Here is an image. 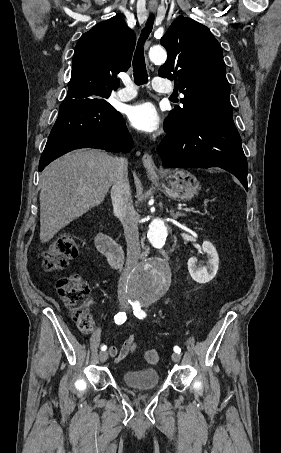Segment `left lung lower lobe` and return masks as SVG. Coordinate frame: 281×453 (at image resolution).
<instances>
[{"mask_svg": "<svg viewBox=\"0 0 281 453\" xmlns=\"http://www.w3.org/2000/svg\"><path fill=\"white\" fill-rule=\"evenodd\" d=\"M166 133L158 147L164 167H220L248 190L247 160L232 113L195 118Z\"/></svg>", "mask_w": 281, "mask_h": 453, "instance_id": "left-lung-lower-lobe-1", "label": "left lung lower lobe"}]
</instances>
